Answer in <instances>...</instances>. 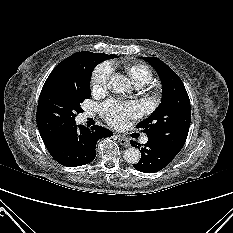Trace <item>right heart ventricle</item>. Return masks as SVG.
<instances>
[{"mask_svg":"<svg viewBox=\"0 0 233 233\" xmlns=\"http://www.w3.org/2000/svg\"><path fill=\"white\" fill-rule=\"evenodd\" d=\"M126 72L133 83L138 87L148 84L153 76L151 69L141 63H134L126 66Z\"/></svg>","mask_w":233,"mask_h":233,"instance_id":"1","label":"right heart ventricle"}]
</instances>
